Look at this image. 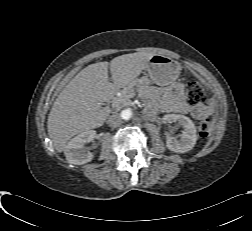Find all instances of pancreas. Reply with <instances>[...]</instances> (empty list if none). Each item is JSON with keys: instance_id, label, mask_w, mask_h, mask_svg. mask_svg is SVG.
<instances>
[{"instance_id": "1", "label": "pancreas", "mask_w": 252, "mask_h": 231, "mask_svg": "<svg viewBox=\"0 0 252 231\" xmlns=\"http://www.w3.org/2000/svg\"><path fill=\"white\" fill-rule=\"evenodd\" d=\"M147 84H149V83L143 84L144 89L151 90V88L149 86H147ZM128 93H129V90H122L121 95L114 99V104H115L116 110H119V109L131 104L130 96L128 95Z\"/></svg>"}]
</instances>
